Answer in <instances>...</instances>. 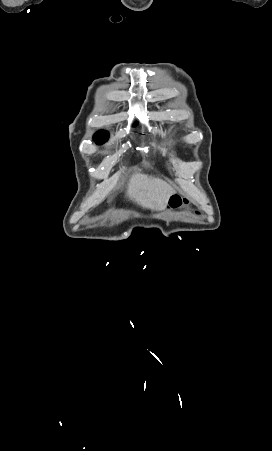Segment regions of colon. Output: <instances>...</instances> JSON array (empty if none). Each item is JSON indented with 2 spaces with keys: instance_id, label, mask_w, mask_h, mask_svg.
<instances>
[{
  "instance_id": "colon-1",
  "label": "colon",
  "mask_w": 272,
  "mask_h": 451,
  "mask_svg": "<svg viewBox=\"0 0 272 451\" xmlns=\"http://www.w3.org/2000/svg\"><path fill=\"white\" fill-rule=\"evenodd\" d=\"M169 204L172 207H179L182 205H187L188 201L185 198L175 195L170 198Z\"/></svg>"
}]
</instances>
